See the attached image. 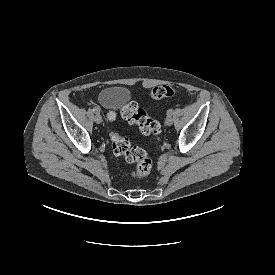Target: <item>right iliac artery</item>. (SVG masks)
Instances as JSON below:
<instances>
[{"mask_svg": "<svg viewBox=\"0 0 275 275\" xmlns=\"http://www.w3.org/2000/svg\"><path fill=\"white\" fill-rule=\"evenodd\" d=\"M93 111H94V112H98V111L100 112V109H99L98 107H94V108H93Z\"/></svg>", "mask_w": 275, "mask_h": 275, "instance_id": "1", "label": "right iliac artery"}]
</instances>
